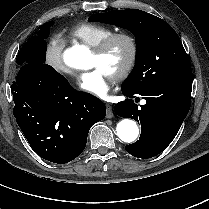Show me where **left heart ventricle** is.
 <instances>
[{"mask_svg": "<svg viewBox=\"0 0 209 209\" xmlns=\"http://www.w3.org/2000/svg\"><path fill=\"white\" fill-rule=\"evenodd\" d=\"M129 56V46L125 41H118L104 57L92 55L91 67H99L111 77L121 69Z\"/></svg>", "mask_w": 209, "mask_h": 209, "instance_id": "1", "label": "left heart ventricle"}]
</instances>
